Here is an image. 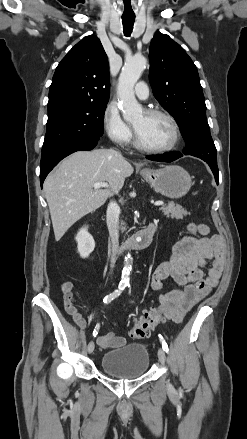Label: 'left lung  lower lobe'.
Instances as JSON below:
<instances>
[{
	"label": "left lung lower lobe",
	"instance_id": "left-lung-lower-lobe-1",
	"mask_svg": "<svg viewBox=\"0 0 247 439\" xmlns=\"http://www.w3.org/2000/svg\"><path fill=\"white\" fill-rule=\"evenodd\" d=\"M182 154L180 152H169L164 154H158V155H151L147 156L146 158L153 161H163V162H172L178 158H180ZM217 184L219 183V171L211 169Z\"/></svg>",
	"mask_w": 247,
	"mask_h": 439
}]
</instances>
